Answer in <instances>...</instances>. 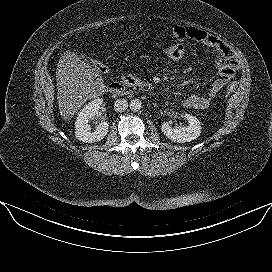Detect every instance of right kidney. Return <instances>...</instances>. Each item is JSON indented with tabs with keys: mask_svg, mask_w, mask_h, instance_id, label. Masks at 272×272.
<instances>
[{
	"mask_svg": "<svg viewBox=\"0 0 272 272\" xmlns=\"http://www.w3.org/2000/svg\"><path fill=\"white\" fill-rule=\"evenodd\" d=\"M103 106L102 98H95L86 104L78 114L75 122V137L85 143H94L101 141L107 134L109 125L107 122H101L96 129L91 132L89 122L93 120Z\"/></svg>",
	"mask_w": 272,
	"mask_h": 272,
	"instance_id": "ca27d5eb",
	"label": "right kidney"
}]
</instances>
